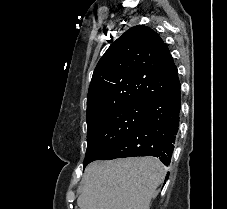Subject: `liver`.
Masks as SVG:
<instances>
[{
	"label": "liver",
	"mask_w": 227,
	"mask_h": 209,
	"mask_svg": "<svg viewBox=\"0 0 227 209\" xmlns=\"http://www.w3.org/2000/svg\"><path fill=\"white\" fill-rule=\"evenodd\" d=\"M164 167L155 157L94 161L85 169L79 209H150Z\"/></svg>",
	"instance_id": "obj_1"
}]
</instances>
